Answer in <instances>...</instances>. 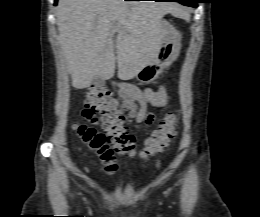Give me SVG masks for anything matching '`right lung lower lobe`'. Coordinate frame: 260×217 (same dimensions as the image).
Returning <instances> with one entry per match:
<instances>
[{"instance_id":"1","label":"right lung lower lobe","mask_w":260,"mask_h":217,"mask_svg":"<svg viewBox=\"0 0 260 217\" xmlns=\"http://www.w3.org/2000/svg\"><path fill=\"white\" fill-rule=\"evenodd\" d=\"M57 1H58V0H55V3H54L55 5L57 4ZM126 1H127V0H126Z\"/></svg>"}]
</instances>
